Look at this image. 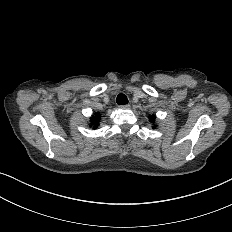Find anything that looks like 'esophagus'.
Wrapping results in <instances>:
<instances>
[{
	"instance_id": "esophagus-1",
	"label": "esophagus",
	"mask_w": 232,
	"mask_h": 232,
	"mask_svg": "<svg viewBox=\"0 0 232 232\" xmlns=\"http://www.w3.org/2000/svg\"><path fill=\"white\" fill-rule=\"evenodd\" d=\"M119 108H120V109H123V110H127V109H129V108H130V105H128V104H125V105H119Z\"/></svg>"
}]
</instances>
